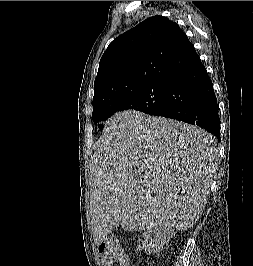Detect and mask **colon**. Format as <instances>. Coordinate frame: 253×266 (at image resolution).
<instances>
[{
    "instance_id": "colon-1",
    "label": "colon",
    "mask_w": 253,
    "mask_h": 266,
    "mask_svg": "<svg viewBox=\"0 0 253 266\" xmlns=\"http://www.w3.org/2000/svg\"><path fill=\"white\" fill-rule=\"evenodd\" d=\"M98 252L104 266H124L127 262L122 247L114 238L102 241L98 246Z\"/></svg>"
}]
</instances>
